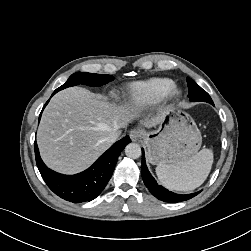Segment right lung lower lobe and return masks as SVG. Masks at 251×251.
<instances>
[{"label": "right lung lower lobe", "mask_w": 251, "mask_h": 251, "mask_svg": "<svg viewBox=\"0 0 251 251\" xmlns=\"http://www.w3.org/2000/svg\"><path fill=\"white\" fill-rule=\"evenodd\" d=\"M57 92L55 90L52 96ZM48 102L49 100L43 109ZM130 142V138L125 136L114 143L90 168L76 175H63L49 169L40 157L36 141L35 158L42 178L56 195L73 203H81L95 199L102 192L113 174L118 156Z\"/></svg>", "instance_id": "1"}]
</instances>
